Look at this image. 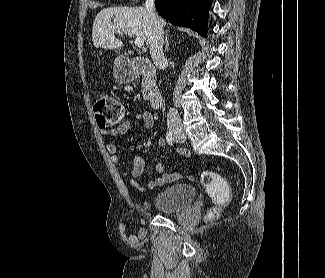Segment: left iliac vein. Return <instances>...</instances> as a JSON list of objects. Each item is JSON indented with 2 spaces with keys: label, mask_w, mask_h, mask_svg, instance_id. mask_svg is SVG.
<instances>
[{
  "label": "left iliac vein",
  "mask_w": 325,
  "mask_h": 278,
  "mask_svg": "<svg viewBox=\"0 0 325 278\" xmlns=\"http://www.w3.org/2000/svg\"><path fill=\"white\" fill-rule=\"evenodd\" d=\"M175 140H176V142H179V143L185 142L186 136L185 135H183L181 137L175 136Z\"/></svg>",
  "instance_id": "4c4485c4"
}]
</instances>
